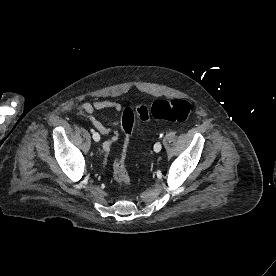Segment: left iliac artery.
Listing matches in <instances>:
<instances>
[{"instance_id": "1", "label": "left iliac artery", "mask_w": 276, "mask_h": 276, "mask_svg": "<svg viewBox=\"0 0 276 276\" xmlns=\"http://www.w3.org/2000/svg\"><path fill=\"white\" fill-rule=\"evenodd\" d=\"M160 137H163V134H160Z\"/></svg>"}]
</instances>
